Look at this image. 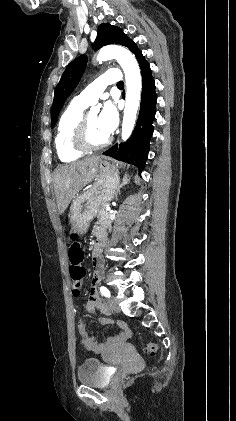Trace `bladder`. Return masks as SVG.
I'll return each instance as SVG.
<instances>
[{"mask_svg":"<svg viewBox=\"0 0 236 421\" xmlns=\"http://www.w3.org/2000/svg\"><path fill=\"white\" fill-rule=\"evenodd\" d=\"M77 382L92 387H104L109 385L105 374L101 369L100 361L93 358H86L77 369Z\"/></svg>","mask_w":236,"mask_h":421,"instance_id":"obj_1","label":"bladder"}]
</instances>
